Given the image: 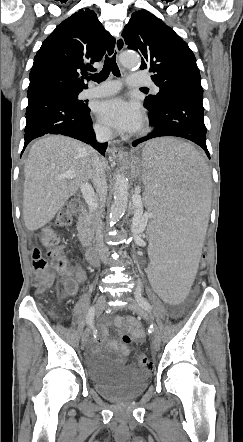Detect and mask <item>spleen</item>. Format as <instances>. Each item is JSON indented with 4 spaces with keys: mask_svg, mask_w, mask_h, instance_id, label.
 I'll return each instance as SVG.
<instances>
[{
    "mask_svg": "<svg viewBox=\"0 0 243 442\" xmlns=\"http://www.w3.org/2000/svg\"><path fill=\"white\" fill-rule=\"evenodd\" d=\"M136 178L145 193L149 217L147 279L165 307H182L199 263L210 210L209 177L202 155L190 144L171 138L147 143L139 156Z\"/></svg>",
    "mask_w": 243,
    "mask_h": 442,
    "instance_id": "spleen-1",
    "label": "spleen"
}]
</instances>
